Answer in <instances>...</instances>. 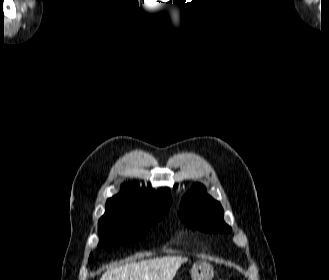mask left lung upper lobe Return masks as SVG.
Masks as SVG:
<instances>
[{"instance_id":"5c2ea615","label":"left lung upper lobe","mask_w":329,"mask_h":280,"mask_svg":"<svg viewBox=\"0 0 329 280\" xmlns=\"http://www.w3.org/2000/svg\"><path fill=\"white\" fill-rule=\"evenodd\" d=\"M179 216L189 228L210 233L232 232L223 220L220 203L207 195L204 186L198 183L183 197Z\"/></svg>"}]
</instances>
